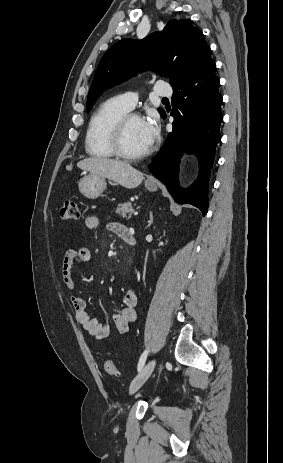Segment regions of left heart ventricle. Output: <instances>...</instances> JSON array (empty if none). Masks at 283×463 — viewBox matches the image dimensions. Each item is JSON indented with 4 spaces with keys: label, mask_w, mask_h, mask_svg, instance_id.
Here are the masks:
<instances>
[{
    "label": "left heart ventricle",
    "mask_w": 283,
    "mask_h": 463,
    "mask_svg": "<svg viewBox=\"0 0 283 463\" xmlns=\"http://www.w3.org/2000/svg\"><path fill=\"white\" fill-rule=\"evenodd\" d=\"M122 143L123 148L131 154H139L150 148L146 141L143 120L134 118L127 123Z\"/></svg>",
    "instance_id": "1"
}]
</instances>
